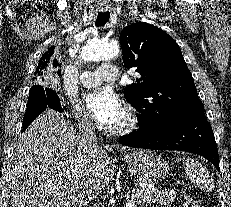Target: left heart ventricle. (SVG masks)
<instances>
[{
  "label": "left heart ventricle",
  "instance_id": "b2bd125f",
  "mask_svg": "<svg viewBox=\"0 0 231 207\" xmlns=\"http://www.w3.org/2000/svg\"><path fill=\"white\" fill-rule=\"evenodd\" d=\"M126 120V114L125 112H123L122 116L117 119L113 124L110 125V127H118L120 125H122Z\"/></svg>",
  "mask_w": 231,
  "mask_h": 207
}]
</instances>
